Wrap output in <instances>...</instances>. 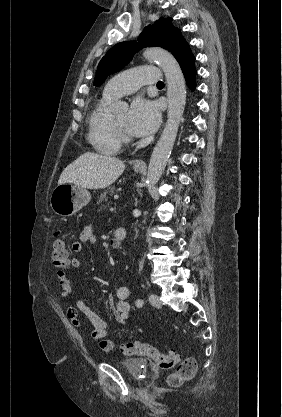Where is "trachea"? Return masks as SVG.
I'll list each match as a JSON object with an SVG mask.
<instances>
[{
	"mask_svg": "<svg viewBox=\"0 0 282 417\" xmlns=\"http://www.w3.org/2000/svg\"><path fill=\"white\" fill-rule=\"evenodd\" d=\"M157 85H164V83L161 80H159V82L157 83Z\"/></svg>",
	"mask_w": 282,
	"mask_h": 417,
	"instance_id": "obj_1",
	"label": "trachea"
}]
</instances>
